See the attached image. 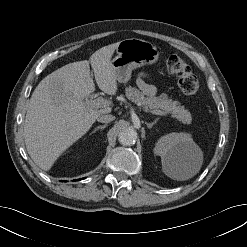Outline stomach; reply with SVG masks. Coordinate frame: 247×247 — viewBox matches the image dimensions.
Masks as SVG:
<instances>
[{
    "label": "stomach",
    "instance_id": "0dacf381",
    "mask_svg": "<svg viewBox=\"0 0 247 247\" xmlns=\"http://www.w3.org/2000/svg\"><path fill=\"white\" fill-rule=\"evenodd\" d=\"M116 53L117 56L112 59L111 65L119 83L128 82L132 70L144 65H152L159 58V51L155 45L137 38L120 41Z\"/></svg>",
    "mask_w": 247,
    "mask_h": 247
}]
</instances>
